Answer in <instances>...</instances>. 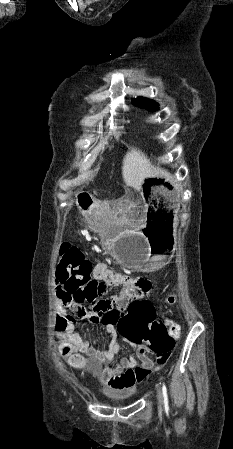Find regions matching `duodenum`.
Listing matches in <instances>:
<instances>
[{
  "label": "duodenum",
  "instance_id": "410a0bca",
  "mask_svg": "<svg viewBox=\"0 0 233 449\" xmlns=\"http://www.w3.org/2000/svg\"><path fill=\"white\" fill-rule=\"evenodd\" d=\"M77 204L79 206H85L87 210H92L94 208V203L92 199L88 197V193L86 191H79L77 193Z\"/></svg>",
  "mask_w": 233,
  "mask_h": 449
}]
</instances>
